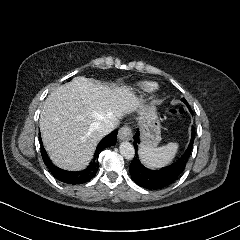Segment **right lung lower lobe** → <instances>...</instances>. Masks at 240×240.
Wrapping results in <instances>:
<instances>
[{
    "label": "right lung lower lobe",
    "mask_w": 240,
    "mask_h": 240,
    "mask_svg": "<svg viewBox=\"0 0 240 240\" xmlns=\"http://www.w3.org/2000/svg\"><path fill=\"white\" fill-rule=\"evenodd\" d=\"M117 133H118V131L114 130L112 133H110L109 135H107L105 138H103L100 141V143L98 144L96 151L94 153V157H93L91 164L83 171H77V172L67 171V170L60 169L59 167H56L55 165H53V163L50 161V159L42 145L41 137L39 134V141L41 144V155H42L45 165L47 166L49 171L52 173V175L57 180H59L63 183H66V184H73V185L83 184V183H86L89 180H91L96 175V173L98 171V167H99V165H98L99 153L103 149L116 144Z\"/></svg>",
    "instance_id": "right-lung-lower-lobe-1"
}]
</instances>
